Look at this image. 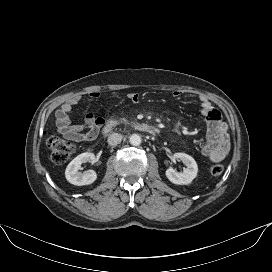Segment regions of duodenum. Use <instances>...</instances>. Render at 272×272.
<instances>
[{"label":"duodenum","mask_w":272,"mask_h":272,"mask_svg":"<svg viewBox=\"0 0 272 272\" xmlns=\"http://www.w3.org/2000/svg\"><path fill=\"white\" fill-rule=\"evenodd\" d=\"M119 124L120 123L116 120L107 121L103 127V133L108 134V133L112 132L117 126H119ZM130 125H131V127L135 128L139 131H142V132H145V133H148L151 135H155L157 133V129L154 126L149 125L147 123L132 122V123H130Z\"/></svg>","instance_id":"1"}]
</instances>
